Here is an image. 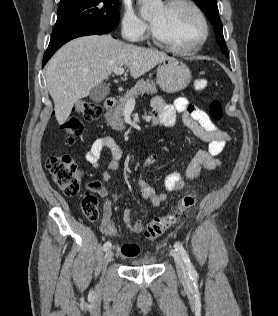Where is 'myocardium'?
Returning a JSON list of instances; mask_svg holds the SVG:
<instances>
[{
    "instance_id": "f54148a6",
    "label": "myocardium",
    "mask_w": 278,
    "mask_h": 316,
    "mask_svg": "<svg viewBox=\"0 0 278 316\" xmlns=\"http://www.w3.org/2000/svg\"><path fill=\"white\" fill-rule=\"evenodd\" d=\"M179 4H185L189 7H191L194 10V12L197 14V16L201 22V25H202V36H201V39L199 40V42L196 45H194L192 47H188V48L177 46V45L167 41L166 39L162 38L155 30L152 23L150 24V35H151L152 41L158 46L164 47L166 49H169V50L176 52V53H179V54L191 55V54H194V53L198 52L199 50H201L203 48V46L206 44V42L209 38V35H210V28H209L208 20L205 16L203 10L193 0H166L164 3V5L167 7H171V6H175V5H179Z\"/></svg>"
}]
</instances>
